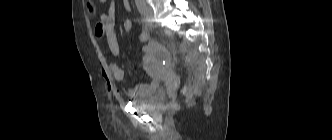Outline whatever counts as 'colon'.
<instances>
[{
    "instance_id": "1",
    "label": "colon",
    "mask_w": 332,
    "mask_h": 140,
    "mask_svg": "<svg viewBox=\"0 0 332 140\" xmlns=\"http://www.w3.org/2000/svg\"><path fill=\"white\" fill-rule=\"evenodd\" d=\"M122 31H123L125 34H130V33H132V31H133V23H132L130 20H125V21L122 23Z\"/></svg>"
}]
</instances>
